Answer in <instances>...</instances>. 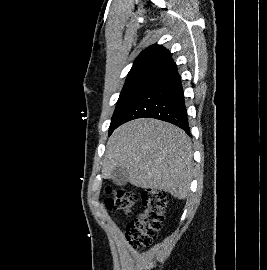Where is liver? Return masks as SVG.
<instances>
[{
    "label": "liver",
    "mask_w": 267,
    "mask_h": 270,
    "mask_svg": "<svg viewBox=\"0 0 267 270\" xmlns=\"http://www.w3.org/2000/svg\"><path fill=\"white\" fill-rule=\"evenodd\" d=\"M190 138L180 128L160 120L140 118L118 127L107 142L102 177L116 167L128 171V182L143 189L187 197L194 165Z\"/></svg>",
    "instance_id": "obj_1"
}]
</instances>
